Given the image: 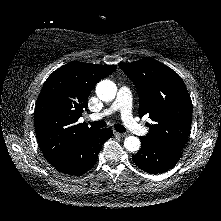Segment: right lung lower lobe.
I'll list each match as a JSON object with an SVG mask.
<instances>
[{
    "label": "right lung lower lobe",
    "instance_id": "right-lung-lower-lobe-1",
    "mask_svg": "<svg viewBox=\"0 0 221 221\" xmlns=\"http://www.w3.org/2000/svg\"><path fill=\"white\" fill-rule=\"evenodd\" d=\"M111 137L110 129H97L88 134L64 158L52 166L64 174L83 175L93 167L103 143Z\"/></svg>",
    "mask_w": 221,
    "mask_h": 221
}]
</instances>
